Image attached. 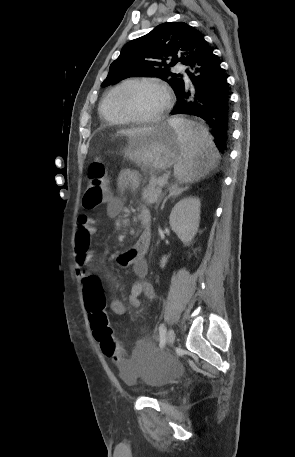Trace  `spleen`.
<instances>
[{
    "label": "spleen",
    "mask_w": 295,
    "mask_h": 457,
    "mask_svg": "<svg viewBox=\"0 0 295 457\" xmlns=\"http://www.w3.org/2000/svg\"><path fill=\"white\" fill-rule=\"evenodd\" d=\"M169 123L177 131L181 155L174 175L180 182L199 180L216 166L220 157L208 130L183 118L170 119Z\"/></svg>",
    "instance_id": "obj_1"
}]
</instances>
